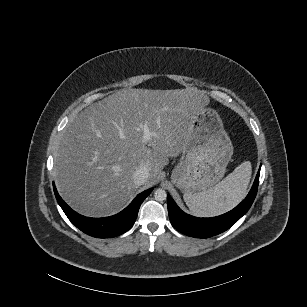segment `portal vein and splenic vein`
<instances>
[{"mask_svg":"<svg viewBox=\"0 0 307 307\" xmlns=\"http://www.w3.org/2000/svg\"><path fill=\"white\" fill-rule=\"evenodd\" d=\"M140 128L143 131V142L147 143L152 137L157 136V134L155 132H151L149 130V127L146 123L140 125Z\"/></svg>","mask_w":307,"mask_h":307,"instance_id":"18ae733b","label":"portal vein and splenic vein"}]
</instances>
